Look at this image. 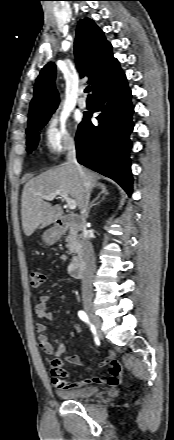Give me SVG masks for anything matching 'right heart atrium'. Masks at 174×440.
<instances>
[{
  "instance_id": "1",
  "label": "right heart atrium",
  "mask_w": 174,
  "mask_h": 440,
  "mask_svg": "<svg viewBox=\"0 0 174 440\" xmlns=\"http://www.w3.org/2000/svg\"><path fill=\"white\" fill-rule=\"evenodd\" d=\"M43 144L50 157H56L74 146V137L64 117L58 114L49 117L43 130Z\"/></svg>"
}]
</instances>
